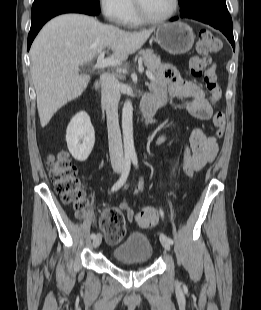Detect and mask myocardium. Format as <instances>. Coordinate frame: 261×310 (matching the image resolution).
<instances>
[{
  "mask_svg": "<svg viewBox=\"0 0 261 310\" xmlns=\"http://www.w3.org/2000/svg\"><path fill=\"white\" fill-rule=\"evenodd\" d=\"M133 5H134L136 16L140 20V22L146 23V24H159V23H163V22L170 20L177 14L179 7H180V0H173L172 10L165 16L157 17V18L148 16L142 9L138 0H133Z\"/></svg>",
  "mask_w": 261,
  "mask_h": 310,
  "instance_id": "1",
  "label": "myocardium"
}]
</instances>
